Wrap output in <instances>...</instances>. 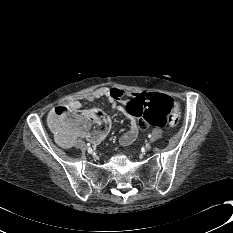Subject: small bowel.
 Here are the masks:
<instances>
[{
    "label": "small bowel",
    "mask_w": 233,
    "mask_h": 233,
    "mask_svg": "<svg viewBox=\"0 0 233 233\" xmlns=\"http://www.w3.org/2000/svg\"><path fill=\"white\" fill-rule=\"evenodd\" d=\"M138 93H126L124 90L118 87H101L91 92L86 93L83 98L88 101H94L96 99L105 98L109 101L112 108L122 113L129 120V129L119 139L122 145H130L135 141L138 136V119L131 117L126 111L125 103L122 105L121 100L125 96L133 97ZM150 94V93H149ZM71 110V114L82 108L81 98H71L65 102ZM53 112V111H52ZM50 113V115L52 114ZM108 129L106 128L103 132L90 134L84 131H74L64 135H56L57 142L62 147H71L78 137H86L92 144L100 143L107 135Z\"/></svg>",
    "instance_id": "small-bowel-1"
}]
</instances>
